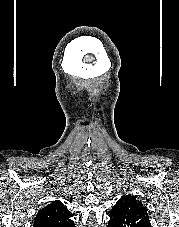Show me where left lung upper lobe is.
Here are the masks:
<instances>
[{
    "instance_id": "obj_1",
    "label": "left lung upper lobe",
    "mask_w": 179,
    "mask_h": 227,
    "mask_svg": "<svg viewBox=\"0 0 179 227\" xmlns=\"http://www.w3.org/2000/svg\"><path fill=\"white\" fill-rule=\"evenodd\" d=\"M109 216L114 227H151L146 207L130 194L121 197Z\"/></svg>"
}]
</instances>
